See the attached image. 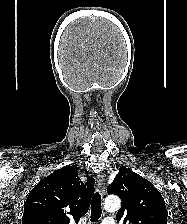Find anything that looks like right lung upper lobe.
Masks as SVG:
<instances>
[{
    "label": "right lung upper lobe",
    "instance_id": "cb5924a9",
    "mask_svg": "<svg viewBox=\"0 0 187 224\" xmlns=\"http://www.w3.org/2000/svg\"><path fill=\"white\" fill-rule=\"evenodd\" d=\"M78 168L65 166L42 179L25 202L22 224H69L84 215L94 192L92 177L79 181Z\"/></svg>",
    "mask_w": 187,
    "mask_h": 224
}]
</instances>
